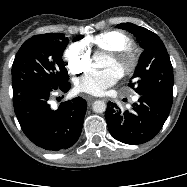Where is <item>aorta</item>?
I'll return each mask as SVG.
<instances>
[{
  "mask_svg": "<svg viewBox=\"0 0 187 187\" xmlns=\"http://www.w3.org/2000/svg\"><path fill=\"white\" fill-rule=\"evenodd\" d=\"M102 55L100 53H95L93 60L96 64L102 63ZM107 105L104 101L97 100L93 103L92 109L95 113H103L106 111Z\"/></svg>",
  "mask_w": 187,
  "mask_h": 187,
  "instance_id": "aorta-1",
  "label": "aorta"
}]
</instances>
